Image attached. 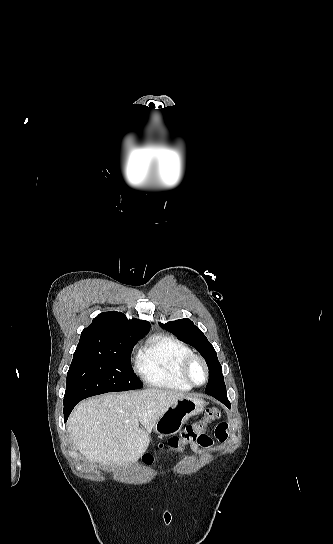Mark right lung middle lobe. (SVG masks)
<instances>
[{"mask_svg": "<svg viewBox=\"0 0 333 544\" xmlns=\"http://www.w3.org/2000/svg\"><path fill=\"white\" fill-rule=\"evenodd\" d=\"M141 338L113 341L105 351L76 350L67 374L64 402L115 391L140 389L131 366V352Z\"/></svg>", "mask_w": 333, "mask_h": 544, "instance_id": "right-lung-middle-lobe-1", "label": "right lung middle lobe"}]
</instances>
